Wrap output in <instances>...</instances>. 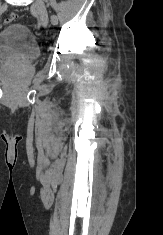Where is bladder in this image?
<instances>
[{
	"instance_id": "31cf9c89",
	"label": "bladder",
	"mask_w": 163,
	"mask_h": 235,
	"mask_svg": "<svg viewBox=\"0 0 163 235\" xmlns=\"http://www.w3.org/2000/svg\"><path fill=\"white\" fill-rule=\"evenodd\" d=\"M39 55V46L25 24H9L0 30V58L32 62Z\"/></svg>"
}]
</instances>
